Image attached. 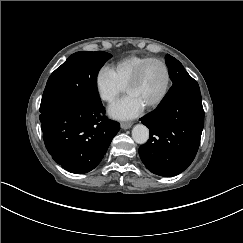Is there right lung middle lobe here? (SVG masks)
<instances>
[{
  "instance_id": "dd1d6c3e",
  "label": "right lung middle lobe",
  "mask_w": 243,
  "mask_h": 243,
  "mask_svg": "<svg viewBox=\"0 0 243 243\" xmlns=\"http://www.w3.org/2000/svg\"><path fill=\"white\" fill-rule=\"evenodd\" d=\"M111 57V54L102 51L72 54L50 75L42 96L40 112L68 99L101 102L97 91V74Z\"/></svg>"
}]
</instances>
